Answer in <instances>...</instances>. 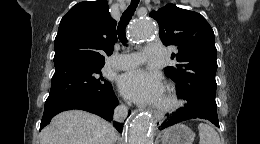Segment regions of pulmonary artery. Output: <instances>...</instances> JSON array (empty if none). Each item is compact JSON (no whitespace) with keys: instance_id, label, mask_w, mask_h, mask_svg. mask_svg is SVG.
I'll use <instances>...</instances> for the list:
<instances>
[{"instance_id":"1","label":"pulmonary artery","mask_w":260,"mask_h":144,"mask_svg":"<svg viewBox=\"0 0 260 144\" xmlns=\"http://www.w3.org/2000/svg\"><path fill=\"white\" fill-rule=\"evenodd\" d=\"M165 55V49L159 44L152 43L143 52L123 54L119 57L118 66L121 69H133L143 62H157Z\"/></svg>"}]
</instances>
